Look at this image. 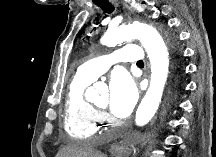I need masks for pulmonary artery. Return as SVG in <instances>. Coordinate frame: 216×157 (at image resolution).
<instances>
[{
    "instance_id": "obj_1",
    "label": "pulmonary artery",
    "mask_w": 216,
    "mask_h": 157,
    "mask_svg": "<svg viewBox=\"0 0 216 157\" xmlns=\"http://www.w3.org/2000/svg\"><path fill=\"white\" fill-rule=\"evenodd\" d=\"M144 54L136 45H126L110 54L101 55L90 59L79 66L77 74L87 80H95L105 73L113 64L123 62L141 61Z\"/></svg>"
}]
</instances>
